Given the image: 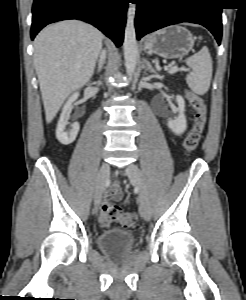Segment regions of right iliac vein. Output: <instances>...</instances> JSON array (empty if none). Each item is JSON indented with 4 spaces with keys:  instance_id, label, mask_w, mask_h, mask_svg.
I'll return each mask as SVG.
<instances>
[{
    "instance_id": "1",
    "label": "right iliac vein",
    "mask_w": 246,
    "mask_h": 300,
    "mask_svg": "<svg viewBox=\"0 0 246 300\" xmlns=\"http://www.w3.org/2000/svg\"><path fill=\"white\" fill-rule=\"evenodd\" d=\"M110 174V167L107 163H103L100 167L97 180H96V186H95V195H94V211L96 212L98 210L100 200L102 197V193L104 190L105 183L109 177Z\"/></svg>"
}]
</instances>
